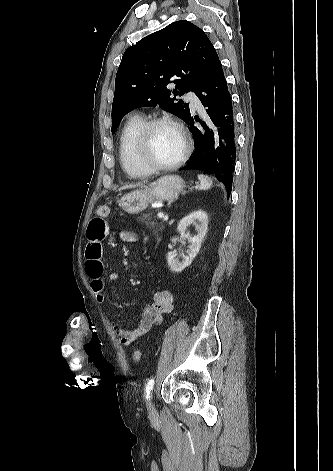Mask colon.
Segmentation results:
<instances>
[{
    "instance_id": "colon-1",
    "label": "colon",
    "mask_w": 333,
    "mask_h": 471,
    "mask_svg": "<svg viewBox=\"0 0 333 471\" xmlns=\"http://www.w3.org/2000/svg\"><path fill=\"white\" fill-rule=\"evenodd\" d=\"M110 212H111V209L108 206H100L97 209V215H99L101 217L109 216ZM133 357H134L135 360L139 361L142 358L141 350H139V349L135 350L134 354H133Z\"/></svg>"
}]
</instances>
